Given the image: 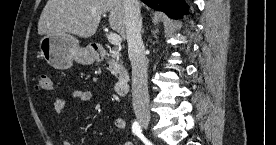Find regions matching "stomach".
<instances>
[{"label": "stomach", "mask_w": 276, "mask_h": 145, "mask_svg": "<svg viewBox=\"0 0 276 145\" xmlns=\"http://www.w3.org/2000/svg\"><path fill=\"white\" fill-rule=\"evenodd\" d=\"M40 51L47 63L59 70L69 69L73 61L90 65L96 59L91 46L81 48L79 40L68 33L44 35L40 40Z\"/></svg>", "instance_id": "obj_1"}]
</instances>
